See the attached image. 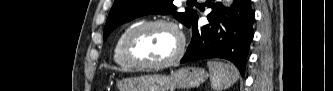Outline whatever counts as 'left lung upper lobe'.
I'll return each instance as SVG.
<instances>
[{"label": "left lung upper lobe", "instance_id": "left-lung-upper-lobe-1", "mask_svg": "<svg viewBox=\"0 0 333 91\" xmlns=\"http://www.w3.org/2000/svg\"><path fill=\"white\" fill-rule=\"evenodd\" d=\"M187 5L191 7V1L188 0ZM175 10L173 0H115L104 27V40L119 25L147 14L174 13L178 21L190 27L196 11L186 8V12L178 13Z\"/></svg>", "mask_w": 333, "mask_h": 91}]
</instances>
